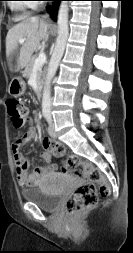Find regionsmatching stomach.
Wrapping results in <instances>:
<instances>
[{
    "label": "stomach",
    "mask_w": 133,
    "mask_h": 253,
    "mask_svg": "<svg viewBox=\"0 0 133 253\" xmlns=\"http://www.w3.org/2000/svg\"><path fill=\"white\" fill-rule=\"evenodd\" d=\"M25 89H26L25 82L21 77H17L12 79L8 91L10 95L14 97H19L24 94Z\"/></svg>",
    "instance_id": "1"
}]
</instances>
